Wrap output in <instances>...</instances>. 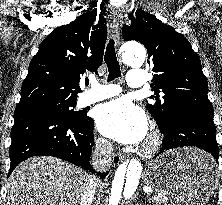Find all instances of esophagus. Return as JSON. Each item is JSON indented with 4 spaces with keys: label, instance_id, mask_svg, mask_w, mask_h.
<instances>
[{
    "label": "esophagus",
    "instance_id": "esophagus-1",
    "mask_svg": "<svg viewBox=\"0 0 222 205\" xmlns=\"http://www.w3.org/2000/svg\"><path fill=\"white\" fill-rule=\"evenodd\" d=\"M122 12L119 8H114L111 12V19L114 23V26L116 28V44L119 45L120 43V33H119V27L122 20ZM124 159V155L121 153H114L112 157V161L114 164H119Z\"/></svg>",
    "mask_w": 222,
    "mask_h": 205
}]
</instances>
